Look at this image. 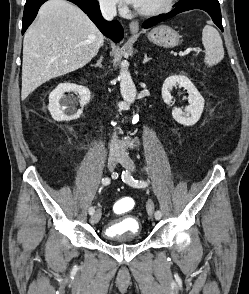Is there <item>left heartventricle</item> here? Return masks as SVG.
Returning <instances> with one entry per match:
<instances>
[{
    "mask_svg": "<svg viewBox=\"0 0 249 294\" xmlns=\"http://www.w3.org/2000/svg\"><path fill=\"white\" fill-rule=\"evenodd\" d=\"M168 0H140L137 5L140 9L151 10L164 5Z\"/></svg>",
    "mask_w": 249,
    "mask_h": 294,
    "instance_id": "1",
    "label": "left heart ventricle"
}]
</instances>
